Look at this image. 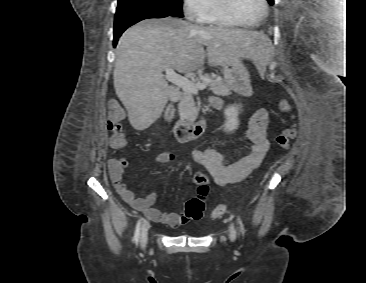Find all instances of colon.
Returning <instances> with one entry per match:
<instances>
[{"label":"colon","mask_w":366,"mask_h":283,"mask_svg":"<svg viewBox=\"0 0 366 283\" xmlns=\"http://www.w3.org/2000/svg\"><path fill=\"white\" fill-rule=\"evenodd\" d=\"M279 108L282 112L289 113L290 106L286 100L279 102ZM124 118V111L117 102H112L107 112V129L110 133L109 145L112 148L120 149L127 145V140L123 132L121 121ZM297 129L294 125L284 128L276 137L277 144L284 150L290 148L291 141L296 137ZM198 196L187 201L184 211L186 220H198L203 216L205 204L204 198L208 193V178L204 173L198 172L193 177ZM227 206L220 204L212 211V218H219L227 211Z\"/></svg>","instance_id":"obj_1"}]
</instances>
